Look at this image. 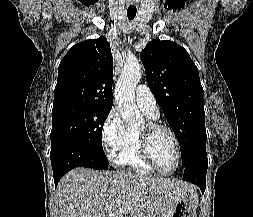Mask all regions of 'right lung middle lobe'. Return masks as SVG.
Wrapping results in <instances>:
<instances>
[{
	"label": "right lung middle lobe",
	"instance_id": "1",
	"mask_svg": "<svg viewBox=\"0 0 253 217\" xmlns=\"http://www.w3.org/2000/svg\"><path fill=\"white\" fill-rule=\"evenodd\" d=\"M111 108L83 102L55 104L52 109L51 150L64 144H79L108 165L102 147V129Z\"/></svg>",
	"mask_w": 253,
	"mask_h": 217
}]
</instances>
